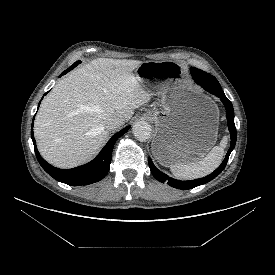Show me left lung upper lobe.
I'll return each mask as SVG.
<instances>
[{
    "label": "left lung upper lobe",
    "instance_id": "obj_1",
    "mask_svg": "<svg viewBox=\"0 0 275 275\" xmlns=\"http://www.w3.org/2000/svg\"><path fill=\"white\" fill-rule=\"evenodd\" d=\"M214 83L216 84V87H221L216 78H215V82Z\"/></svg>",
    "mask_w": 275,
    "mask_h": 275
}]
</instances>
